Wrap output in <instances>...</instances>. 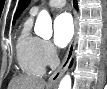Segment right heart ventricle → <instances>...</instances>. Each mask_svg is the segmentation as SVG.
<instances>
[{
  "mask_svg": "<svg viewBox=\"0 0 107 89\" xmlns=\"http://www.w3.org/2000/svg\"><path fill=\"white\" fill-rule=\"evenodd\" d=\"M32 17L22 25L16 42V58L21 71L30 76H42L45 62L42 57V40L31 33Z\"/></svg>",
  "mask_w": 107,
  "mask_h": 89,
  "instance_id": "1",
  "label": "right heart ventricle"
}]
</instances>
